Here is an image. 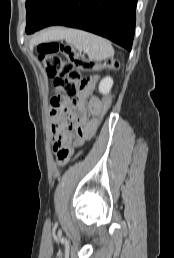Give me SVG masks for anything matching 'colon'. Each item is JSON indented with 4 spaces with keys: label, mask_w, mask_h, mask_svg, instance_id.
Masks as SVG:
<instances>
[{
    "label": "colon",
    "mask_w": 174,
    "mask_h": 258,
    "mask_svg": "<svg viewBox=\"0 0 174 258\" xmlns=\"http://www.w3.org/2000/svg\"><path fill=\"white\" fill-rule=\"evenodd\" d=\"M37 50L48 77L53 79L56 96L63 93L69 97H75L83 71L95 72L102 68L115 71L118 68V63L115 60H107L104 64H98L85 59L70 44L48 42L40 44ZM111 99L112 94L110 93L101 102L98 114L100 121L108 113Z\"/></svg>",
    "instance_id": "5ec220e1"
}]
</instances>
